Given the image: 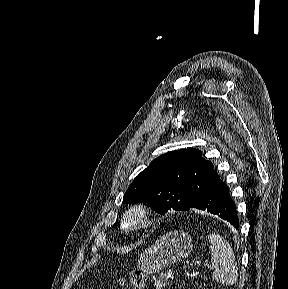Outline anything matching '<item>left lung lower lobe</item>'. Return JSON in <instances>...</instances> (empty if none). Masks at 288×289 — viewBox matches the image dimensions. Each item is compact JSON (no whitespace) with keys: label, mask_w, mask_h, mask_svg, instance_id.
Instances as JSON below:
<instances>
[{"label":"left lung lower lobe","mask_w":288,"mask_h":289,"mask_svg":"<svg viewBox=\"0 0 288 289\" xmlns=\"http://www.w3.org/2000/svg\"><path fill=\"white\" fill-rule=\"evenodd\" d=\"M192 208L218 215L238 229L235 202L230 196L228 186L220 178L194 201L190 209Z\"/></svg>","instance_id":"1"}]
</instances>
